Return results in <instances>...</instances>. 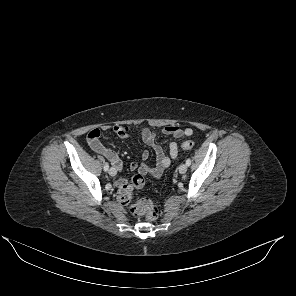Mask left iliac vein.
I'll return each mask as SVG.
<instances>
[{"label":"left iliac vein","mask_w":296,"mask_h":296,"mask_svg":"<svg viewBox=\"0 0 296 296\" xmlns=\"http://www.w3.org/2000/svg\"><path fill=\"white\" fill-rule=\"evenodd\" d=\"M187 171V165L186 164H181L180 166H179V172L181 173V174H184L185 172Z\"/></svg>","instance_id":"obj_1"}]
</instances>
